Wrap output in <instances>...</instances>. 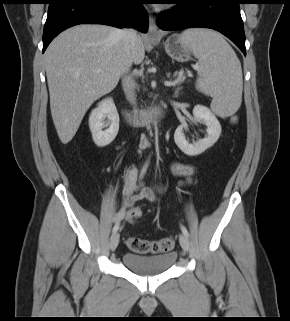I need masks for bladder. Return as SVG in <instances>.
I'll list each match as a JSON object with an SVG mask.
<instances>
[{
    "label": "bladder",
    "mask_w": 290,
    "mask_h": 321,
    "mask_svg": "<svg viewBox=\"0 0 290 321\" xmlns=\"http://www.w3.org/2000/svg\"><path fill=\"white\" fill-rule=\"evenodd\" d=\"M127 269L140 276H157L167 272L176 262L177 253L169 251L158 255L125 253L122 257Z\"/></svg>",
    "instance_id": "1"
}]
</instances>
